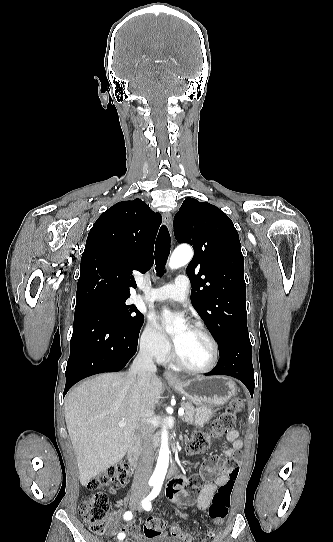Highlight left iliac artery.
Listing matches in <instances>:
<instances>
[{
    "instance_id": "left-iliac-artery-1",
    "label": "left iliac artery",
    "mask_w": 333,
    "mask_h": 542,
    "mask_svg": "<svg viewBox=\"0 0 333 542\" xmlns=\"http://www.w3.org/2000/svg\"><path fill=\"white\" fill-rule=\"evenodd\" d=\"M161 487H162V482L155 483L152 492L149 494L147 499L142 502V507L146 511L151 510L152 505L150 501L153 500L155 497H157V495L161 491Z\"/></svg>"
}]
</instances>
